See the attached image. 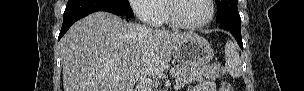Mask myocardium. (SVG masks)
<instances>
[{
  "instance_id": "obj_1",
  "label": "myocardium",
  "mask_w": 304,
  "mask_h": 91,
  "mask_svg": "<svg viewBox=\"0 0 304 91\" xmlns=\"http://www.w3.org/2000/svg\"><path fill=\"white\" fill-rule=\"evenodd\" d=\"M181 0H168L166 1V16L169 21V23L179 29H185V30H196L203 28L207 26L214 18L215 14V7H214V1L213 0H206L208 6H209V15L208 17L197 24H187L179 20L175 14V4Z\"/></svg>"
}]
</instances>
